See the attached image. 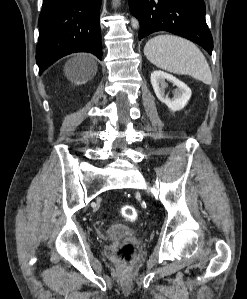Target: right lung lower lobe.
Masks as SVG:
<instances>
[{"label":"right lung lower lobe","mask_w":247,"mask_h":299,"mask_svg":"<svg viewBox=\"0 0 247 299\" xmlns=\"http://www.w3.org/2000/svg\"><path fill=\"white\" fill-rule=\"evenodd\" d=\"M101 2L43 0L36 48L40 73L58 59L75 52H90L102 59L99 24Z\"/></svg>","instance_id":"obj_1"}]
</instances>
